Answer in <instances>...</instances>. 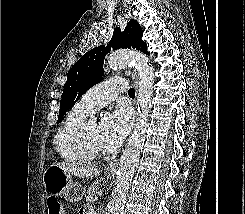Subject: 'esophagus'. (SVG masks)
<instances>
[{"label": "esophagus", "instance_id": "obj_1", "mask_svg": "<svg viewBox=\"0 0 245 214\" xmlns=\"http://www.w3.org/2000/svg\"><path fill=\"white\" fill-rule=\"evenodd\" d=\"M131 77H132V80L134 82L136 95H137V91H138V76H137V73L135 71H133L132 74H131ZM117 163H118L117 160H113V161L109 162L108 166L110 168H114L117 165Z\"/></svg>", "mask_w": 245, "mask_h": 214}]
</instances>
